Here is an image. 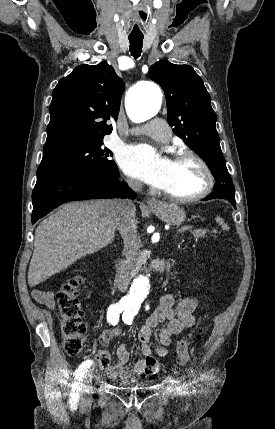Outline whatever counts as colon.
<instances>
[{
    "label": "colon",
    "mask_w": 275,
    "mask_h": 429,
    "mask_svg": "<svg viewBox=\"0 0 275 429\" xmlns=\"http://www.w3.org/2000/svg\"><path fill=\"white\" fill-rule=\"evenodd\" d=\"M84 282L82 276H76L68 280L57 293V305L61 315V334L63 346L68 355L78 356L83 351L86 325L82 320V309L78 294ZM202 331L196 333L194 340L201 339ZM190 340L183 339L177 345V355L180 363L188 360V349ZM97 362L101 368H108L110 356L107 351L100 350L96 355ZM159 370V364L155 359L147 362L146 373L154 374Z\"/></svg>",
    "instance_id": "1"
}]
</instances>
